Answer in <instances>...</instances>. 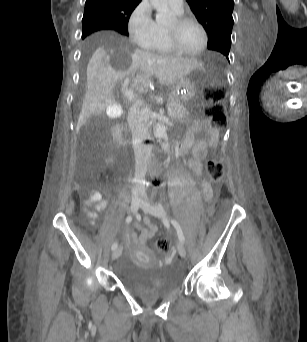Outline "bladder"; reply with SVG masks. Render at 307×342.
<instances>
[{
    "mask_svg": "<svg viewBox=\"0 0 307 342\" xmlns=\"http://www.w3.org/2000/svg\"><path fill=\"white\" fill-rule=\"evenodd\" d=\"M119 279L130 292L147 298L164 297L180 285V278L171 270L159 269L125 259L121 264Z\"/></svg>",
    "mask_w": 307,
    "mask_h": 342,
    "instance_id": "1",
    "label": "bladder"
}]
</instances>
